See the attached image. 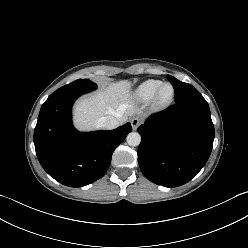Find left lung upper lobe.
<instances>
[{
    "mask_svg": "<svg viewBox=\"0 0 248 248\" xmlns=\"http://www.w3.org/2000/svg\"><path fill=\"white\" fill-rule=\"evenodd\" d=\"M167 78L174 87L176 103L202 97L192 85L181 82L170 75H167Z\"/></svg>",
    "mask_w": 248,
    "mask_h": 248,
    "instance_id": "5c2ea615",
    "label": "left lung upper lobe"
}]
</instances>
